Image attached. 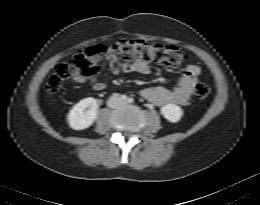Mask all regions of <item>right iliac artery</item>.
I'll return each mask as SVG.
<instances>
[{"label":"right iliac artery","mask_w":260,"mask_h":205,"mask_svg":"<svg viewBox=\"0 0 260 205\" xmlns=\"http://www.w3.org/2000/svg\"><path fill=\"white\" fill-rule=\"evenodd\" d=\"M120 100L122 101H126L128 99V97L126 95H120Z\"/></svg>","instance_id":"obj_1"}]
</instances>
